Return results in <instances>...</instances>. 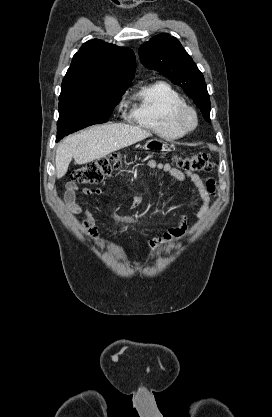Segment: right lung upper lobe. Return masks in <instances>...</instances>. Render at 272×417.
Masks as SVG:
<instances>
[{
    "instance_id": "obj_1",
    "label": "right lung upper lobe",
    "mask_w": 272,
    "mask_h": 417,
    "mask_svg": "<svg viewBox=\"0 0 272 417\" xmlns=\"http://www.w3.org/2000/svg\"><path fill=\"white\" fill-rule=\"evenodd\" d=\"M134 52L102 40L87 41L73 56L59 99L127 89L134 78Z\"/></svg>"
}]
</instances>
